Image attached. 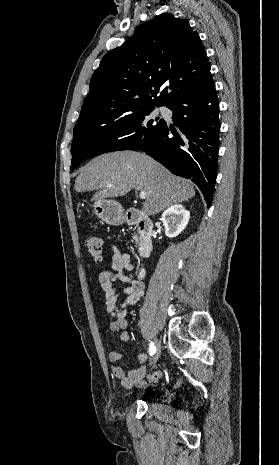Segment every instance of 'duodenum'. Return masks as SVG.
I'll return each mask as SVG.
<instances>
[{
    "label": "duodenum",
    "instance_id": "1",
    "mask_svg": "<svg viewBox=\"0 0 279 465\" xmlns=\"http://www.w3.org/2000/svg\"><path fill=\"white\" fill-rule=\"evenodd\" d=\"M125 222L128 225H135L138 229L139 235V255L142 258L149 257L152 249V234H153V223L152 221L142 213L136 210H129L125 215ZM144 270L141 269L139 277L142 278Z\"/></svg>",
    "mask_w": 279,
    "mask_h": 465
}]
</instances>
